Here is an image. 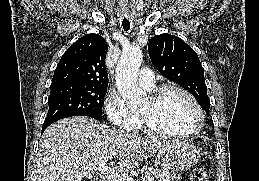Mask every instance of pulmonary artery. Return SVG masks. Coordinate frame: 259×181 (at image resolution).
<instances>
[{
  "mask_svg": "<svg viewBox=\"0 0 259 181\" xmlns=\"http://www.w3.org/2000/svg\"><path fill=\"white\" fill-rule=\"evenodd\" d=\"M155 78H154V74L153 71L149 68H143L140 71V75H139V84L147 89V90H151L154 88L155 86Z\"/></svg>",
  "mask_w": 259,
  "mask_h": 181,
  "instance_id": "1",
  "label": "pulmonary artery"
}]
</instances>
